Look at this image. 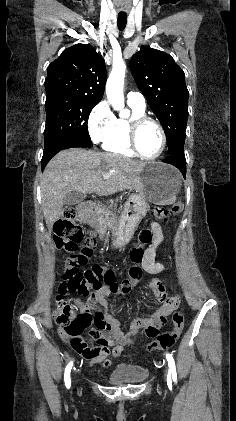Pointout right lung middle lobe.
<instances>
[{
    "mask_svg": "<svg viewBox=\"0 0 236 421\" xmlns=\"http://www.w3.org/2000/svg\"><path fill=\"white\" fill-rule=\"evenodd\" d=\"M99 101L63 92L46 94L45 145L60 137L72 138L92 147L87 121Z\"/></svg>",
    "mask_w": 236,
    "mask_h": 421,
    "instance_id": "1",
    "label": "right lung middle lobe"
}]
</instances>
